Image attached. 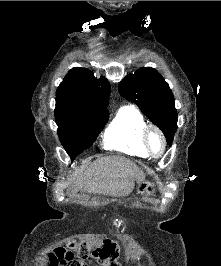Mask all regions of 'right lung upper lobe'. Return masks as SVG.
Listing matches in <instances>:
<instances>
[{
	"mask_svg": "<svg viewBox=\"0 0 221 266\" xmlns=\"http://www.w3.org/2000/svg\"><path fill=\"white\" fill-rule=\"evenodd\" d=\"M110 84L105 77L97 79L84 68L71 69L60 83L56 101L68 103L82 114H109L107 110Z\"/></svg>",
	"mask_w": 221,
	"mask_h": 266,
	"instance_id": "obj_1",
	"label": "right lung upper lobe"
}]
</instances>
